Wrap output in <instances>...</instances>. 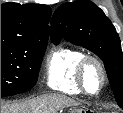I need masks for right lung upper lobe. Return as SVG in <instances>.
<instances>
[{
  "label": "right lung upper lobe",
  "instance_id": "1",
  "mask_svg": "<svg viewBox=\"0 0 123 113\" xmlns=\"http://www.w3.org/2000/svg\"><path fill=\"white\" fill-rule=\"evenodd\" d=\"M51 9L47 5H1V42L48 39Z\"/></svg>",
  "mask_w": 123,
  "mask_h": 113
}]
</instances>
